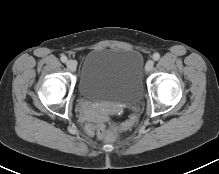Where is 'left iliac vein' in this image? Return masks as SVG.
<instances>
[{
  "mask_svg": "<svg viewBox=\"0 0 219 174\" xmlns=\"http://www.w3.org/2000/svg\"><path fill=\"white\" fill-rule=\"evenodd\" d=\"M154 66V62L152 60H148L145 64V71L150 72Z\"/></svg>",
  "mask_w": 219,
  "mask_h": 174,
  "instance_id": "4c4485c4",
  "label": "left iliac vein"
}]
</instances>
